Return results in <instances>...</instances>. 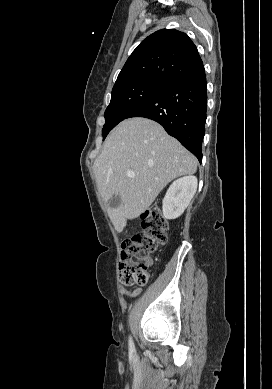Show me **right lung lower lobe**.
I'll use <instances>...</instances> for the list:
<instances>
[{
	"label": "right lung lower lobe",
	"mask_w": 272,
	"mask_h": 389,
	"mask_svg": "<svg viewBox=\"0 0 272 389\" xmlns=\"http://www.w3.org/2000/svg\"><path fill=\"white\" fill-rule=\"evenodd\" d=\"M207 82L203 64L178 76L150 96L126 118L145 117L160 123L202 161L207 111Z\"/></svg>",
	"instance_id": "right-lung-lower-lobe-1"
}]
</instances>
